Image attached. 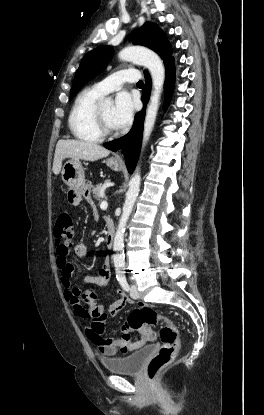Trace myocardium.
I'll return each mask as SVG.
<instances>
[{"instance_id":"obj_1","label":"myocardium","mask_w":264,"mask_h":415,"mask_svg":"<svg viewBox=\"0 0 264 415\" xmlns=\"http://www.w3.org/2000/svg\"><path fill=\"white\" fill-rule=\"evenodd\" d=\"M96 130L102 138H113L119 135L118 131H110L101 114L100 107L96 106L93 112Z\"/></svg>"}]
</instances>
